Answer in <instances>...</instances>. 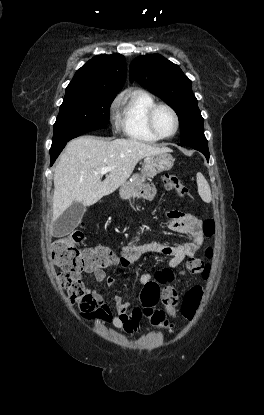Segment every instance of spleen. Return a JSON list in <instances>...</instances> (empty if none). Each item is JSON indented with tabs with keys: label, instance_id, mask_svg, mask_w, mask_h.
<instances>
[{
	"label": "spleen",
	"instance_id": "3e777b00",
	"mask_svg": "<svg viewBox=\"0 0 264 415\" xmlns=\"http://www.w3.org/2000/svg\"><path fill=\"white\" fill-rule=\"evenodd\" d=\"M197 186L202 200L209 203L212 200L210 186L201 172L197 173Z\"/></svg>",
	"mask_w": 264,
	"mask_h": 415
}]
</instances>
